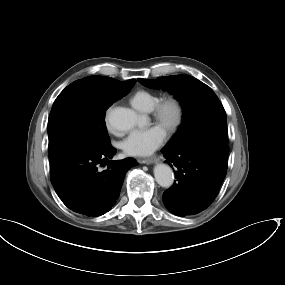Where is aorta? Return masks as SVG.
<instances>
[{
  "mask_svg": "<svg viewBox=\"0 0 285 285\" xmlns=\"http://www.w3.org/2000/svg\"><path fill=\"white\" fill-rule=\"evenodd\" d=\"M109 125L118 131H128L138 124L140 117L131 109L114 107L108 111ZM156 182L164 188H169L174 182V173L170 166L157 164L154 168Z\"/></svg>",
  "mask_w": 285,
  "mask_h": 285,
  "instance_id": "aorta-1",
  "label": "aorta"
}]
</instances>
